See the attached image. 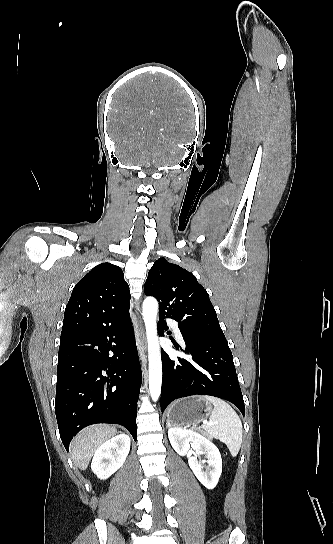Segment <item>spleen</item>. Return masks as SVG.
<instances>
[{
	"label": "spleen",
	"mask_w": 333,
	"mask_h": 544,
	"mask_svg": "<svg viewBox=\"0 0 333 544\" xmlns=\"http://www.w3.org/2000/svg\"><path fill=\"white\" fill-rule=\"evenodd\" d=\"M214 405L209 418V425L202 427L214 438L224 442L231 455L235 457L242 444V422L235 410L224 400L214 396H202Z\"/></svg>",
	"instance_id": "1"
}]
</instances>
